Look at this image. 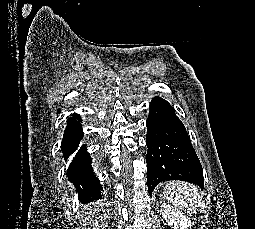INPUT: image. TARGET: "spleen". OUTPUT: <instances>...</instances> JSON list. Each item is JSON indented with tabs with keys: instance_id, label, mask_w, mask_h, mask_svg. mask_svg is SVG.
Segmentation results:
<instances>
[{
	"instance_id": "1",
	"label": "spleen",
	"mask_w": 255,
	"mask_h": 229,
	"mask_svg": "<svg viewBox=\"0 0 255 229\" xmlns=\"http://www.w3.org/2000/svg\"><path fill=\"white\" fill-rule=\"evenodd\" d=\"M164 197L175 207L196 213L200 203V192L197 186L188 182L171 181L164 188Z\"/></svg>"
}]
</instances>
